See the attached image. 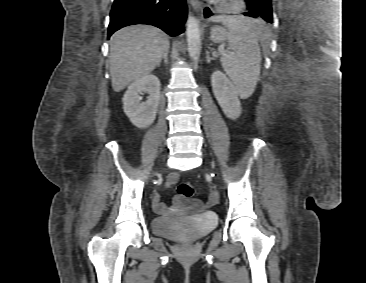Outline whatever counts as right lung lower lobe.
Returning <instances> with one entry per match:
<instances>
[{"instance_id":"1","label":"right lung lower lobe","mask_w":366,"mask_h":283,"mask_svg":"<svg viewBox=\"0 0 366 283\" xmlns=\"http://www.w3.org/2000/svg\"><path fill=\"white\" fill-rule=\"evenodd\" d=\"M186 0H114L108 38L118 29L134 24L156 26L171 36L184 30Z\"/></svg>"}]
</instances>
